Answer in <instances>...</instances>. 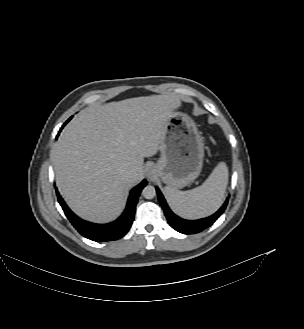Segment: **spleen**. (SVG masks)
Here are the masks:
<instances>
[{
	"mask_svg": "<svg viewBox=\"0 0 304 329\" xmlns=\"http://www.w3.org/2000/svg\"><path fill=\"white\" fill-rule=\"evenodd\" d=\"M227 184L228 168L220 162L202 185L188 191L167 186L165 193L176 214L186 219H198L211 215L221 206Z\"/></svg>",
	"mask_w": 304,
	"mask_h": 329,
	"instance_id": "obj_1",
	"label": "spleen"
}]
</instances>
